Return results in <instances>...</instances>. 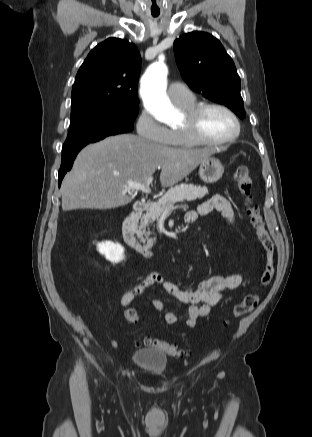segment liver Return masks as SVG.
Returning <instances> with one entry per match:
<instances>
[{
  "label": "liver",
  "instance_id": "obj_1",
  "mask_svg": "<svg viewBox=\"0 0 312 437\" xmlns=\"http://www.w3.org/2000/svg\"><path fill=\"white\" fill-rule=\"evenodd\" d=\"M215 149L174 148L123 134L84 147L61 186L62 209H112L130 203L128 181L143 182L161 168L160 183L170 187L188 176Z\"/></svg>",
  "mask_w": 312,
  "mask_h": 437
}]
</instances>
